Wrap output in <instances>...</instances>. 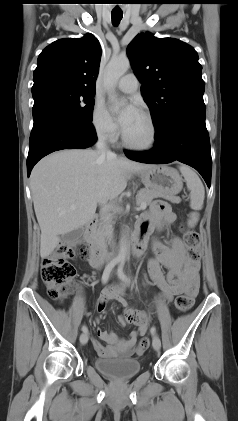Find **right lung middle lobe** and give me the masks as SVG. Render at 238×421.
<instances>
[{"label":"right lung middle lobe","instance_id":"dd1d6c3e","mask_svg":"<svg viewBox=\"0 0 238 421\" xmlns=\"http://www.w3.org/2000/svg\"><path fill=\"white\" fill-rule=\"evenodd\" d=\"M33 109L43 105L55 106L76 120L92 124L95 90L46 82L32 87Z\"/></svg>","mask_w":238,"mask_h":421}]
</instances>
